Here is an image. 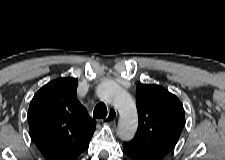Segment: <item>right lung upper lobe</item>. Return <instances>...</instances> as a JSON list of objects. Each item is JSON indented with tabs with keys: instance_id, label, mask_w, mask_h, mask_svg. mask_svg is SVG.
<instances>
[{
	"instance_id": "obj_1",
	"label": "right lung upper lobe",
	"mask_w": 225,
	"mask_h": 160,
	"mask_svg": "<svg viewBox=\"0 0 225 160\" xmlns=\"http://www.w3.org/2000/svg\"><path fill=\"white\" fill-rule=\"evenodd\" d=\"M76 78H59L43 86L31 100L30 135L48 160H77L89 146L95 121L76 97Z\"/></svg>"
}]
</instances>
